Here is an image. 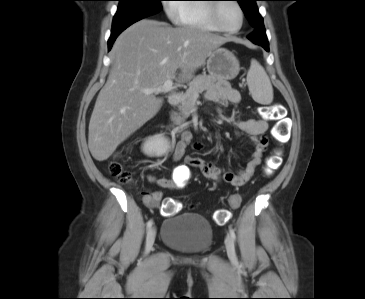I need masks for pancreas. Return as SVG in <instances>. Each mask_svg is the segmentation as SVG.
I'll return each mask as SVG.
<instances>
[{"instance_id": "cf45deb5", "label": "pancreas", "mask_w": 365, "mask_h": 299, "mask_svg": "<svg viewBox=\"0 0 365 299\" xmlns=\"http://www.w3.org/2000/svg\"><path fill=\"white\" fill-rule=\"evenodd\" d=\"M216 82V78L209 75H198L189 84L181 104L178 106L180 113H173L171 116L175 124L181 125L189 116L195 101L200 93L209 89Z\"/></svg>"}]
</instances>
